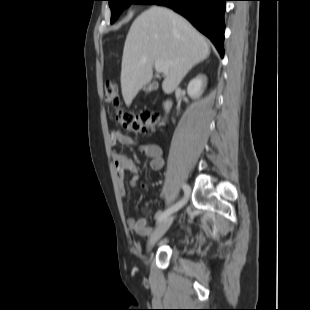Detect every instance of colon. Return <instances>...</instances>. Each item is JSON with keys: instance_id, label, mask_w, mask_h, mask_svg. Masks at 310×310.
Instances as JSON below:
<instances>
[{"instance_id": "1", "label": "colon", "mask_w": 310, "mask_h": 310, "mask_svg": "<svg viewBox=\"0 0 310 310\" xmlns=\"http://www.w3.org/2000/svg\"><path fill=\"white\" fill-rule=\"evenodd\" d=\"M104 99L107 104L118 108L120 106V98L117 86L112 82L104 84ZM159 120L157 112H142L133 114L118 110L116 113V121L118 124L127 131L137 134H143L149 129L153 128Z\"/></svg>"}]
</instances>
